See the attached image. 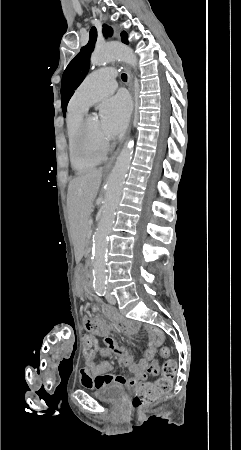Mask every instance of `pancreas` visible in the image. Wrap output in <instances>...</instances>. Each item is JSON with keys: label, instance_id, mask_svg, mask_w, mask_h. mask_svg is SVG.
<instances>
[{"label": "pancreas", "instance_id": "obj_1", "mask_svg": "<svg viewBox=\"0 0 241 450\" xmlns=\"http://www.w3.org/2000/svg\"><path fill=\"white\" fill-rule=\"evenodd\" d=\"M89 230H85V238H86V240H89V237H91V236H89V234L87 233Z\"/></svg>", "mask_w": 241, "mask_h": 450}]
</instances>
